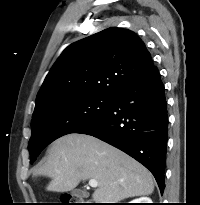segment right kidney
<instances>
[{"label": "right kidney", "mask_w": 200, "mask_h": 205, "mask_svg": "<svg viewBox=\"0 0 200 205\" xmlns=\"http://www.w3.org/2000/svg\"><path fill=\"white\" fill-rule=\"evenodd\" d=\"M129 203H152V200L151 198L144 196V197L136 198Z\"/></svg>", "instance_id": "ca27d5eb"}]
</instances>
